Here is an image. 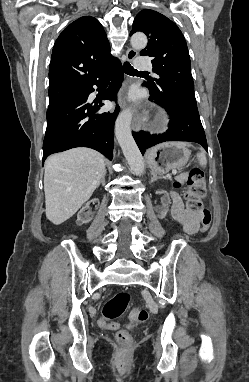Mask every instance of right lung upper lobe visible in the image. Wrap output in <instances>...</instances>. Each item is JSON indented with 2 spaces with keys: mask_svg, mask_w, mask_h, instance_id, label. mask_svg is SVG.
Here are the masks:
<instances>
[{
  "mask_svg": "<svg viewBox=\"0 0 249 382\" xmlns=\"http://www.w3.org/2000/svg\"><path fill=\"white\" fill-rule=\"evenodd\" d=\"M115 59L99 21L84 16L57 38L49 67V101L65 100L88 85L98 71Z\"/></svg>",
  "mask_w": 249,
  "mask_h": 382,
  "instance_id": "right-lung-upper-lobe-1",
  "label": "right lung upper lobe"
}]
</instances>
